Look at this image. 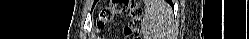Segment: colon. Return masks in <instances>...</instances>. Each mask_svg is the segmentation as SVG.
Listing matches in <instances>:
<instances>
[{"mask_svg": "<svg viewBox=\"0 0 249 39\" xmlns=\"http://www.w3.org/2000/svg\"><path fill=\"white\" fill-rule=\"evenodd\" d=\"M129 12L131 19L124 29L127 39H139L141 30L142 9L135 0H113L109 5L101 8L98 27L102 28L111 22L118 14Z\"/></svg>", "mask_w": 249, "mask_h": 39, "instance_id": "1", "label": "colon"}]
</instances>
